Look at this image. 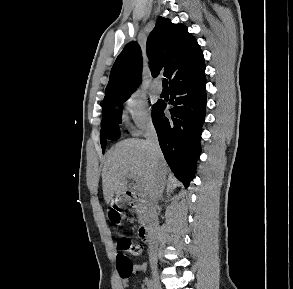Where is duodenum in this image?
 I'll list each match as a JSON object with an SVG mask.
<instances>
[{
    "mask_svg": "<svg viewBox=\"0 0 293 289\" xmlns=\"http://www.w3.org/2000/svg\"><path fill=\"white\" fill-rule=\"evenodd\" d=\"M125 202L129 206H136L144 203L133 192H127L125 195ZM139 235L145 244H151L155 240V223L154 220L147 217L144 219L139 227Z\"/></svg>",
    "mask_w": 293,
    "mask_h": 289,
    "instance_id": "duodenum-1",
    "label": "duodenum"
}]
</instances>
